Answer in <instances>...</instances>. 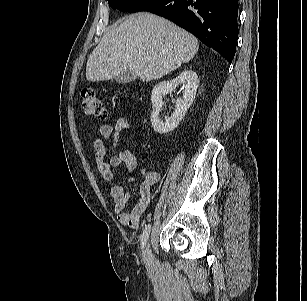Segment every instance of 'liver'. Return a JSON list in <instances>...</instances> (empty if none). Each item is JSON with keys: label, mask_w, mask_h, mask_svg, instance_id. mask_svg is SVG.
<instances>
[{"label": "liver", "mask_w": 307, "mask_h": 301, "mask_svg": "<svg viewBox=\"0 0 307 301\" xmlns=\"http://www.w3.org/2000/svg\"><path fill=\"white\" fill-rule=\"evenodd\" d=\"M198 49L191 33L157 15L138 13L102 37L88 58L86 78L104 81L130 72L144 82L157 80L192 59Z\"/></svg>", "instance_id": "1"}]
</instances>
